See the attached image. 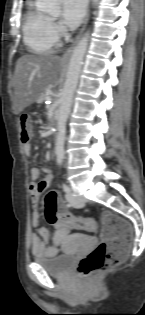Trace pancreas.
<instances>
[{
    "instance_id": "pancreas-1",
    "label": "pancreas",
    "mask_w": 145,
    "mask_h": 315,
    "mask_svg": "<svg viewBox=\"0 0 145 315\" xmlns=\"http://www.w3.org/2000/svg\"><path fill=\"white\" fill-rule=\"evenodd\" d=\"M46 99H47L46 96H42V97H41V100H43V101L46 100Z\"/></svg>"
}]
</instances>
